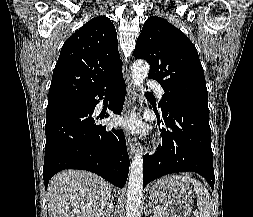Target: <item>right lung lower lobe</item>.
Returning a JSON list of instances; mask_svg holds the SVG:
<instances>
[{"label":"right lung lower lobe","mask_w":253,"mask_h":217,"mask_svg":"<svg viewBox=\"0 0 253 217\" xmlns=\"http://www.w3.org/2000/svg\"><path fill=\"white\" fill-rule=\"evenodd\" d=\"M103 96L110 100L109 109L121 114L125 100L122 73L86 96L47 107L45 188L54 174L65 169L91 171L117 187L125 185L130 163L124 133L97 124L99 117L93 114L99 103L95 97Z\"/></svg>","instance_id":"right-lung-lower-lobe-1"}]
</instances>
